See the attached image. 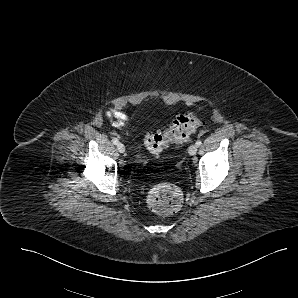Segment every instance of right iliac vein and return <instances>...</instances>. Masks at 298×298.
<instances>
[{"instance_id":"1","label":"right iliac vein","mask_w":298,"mask_h":298,"mask_svg":"<svg viewBox=\"0 0 298 298\" xmlns=\"http://www.w3.org/2000/svg\"><path fill=\"white\" fill-rule=\"evenodd\" d=\"M117 149L120 153H124L125 152V146L122 143H118L117 144Z\"/></svg>"}]
</instances>
